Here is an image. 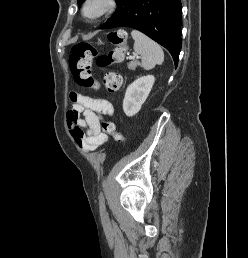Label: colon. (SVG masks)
<instances>
[{
	"label": "colon",
	"instance_id": "5ec220e1",
	"mask_svg": "<svg viewBox=\"0 0 248 258\" xmlns=\"http://www.w3.org/2000/svg\"><path fill=\"white\" fill-rule=\"evenodd\" d=\"M108 40L115 46V49L106 55H98V50L87 43H77L72 47L69 55V67L78 85L93 89L99 87L100 83L92 73L94 59L100 68L122 61L128 49L126 32L124 30L110 32ZM103 83L109 91H116L120 87L118 77L111 74L104 78ZM101 127L106 134L112 135L117 141L124 139L123 134L116 130L112 122L105 121Z\"/></svg>",
	"mask_w": 248,
	"mask_h": 258
}]
</instances>
